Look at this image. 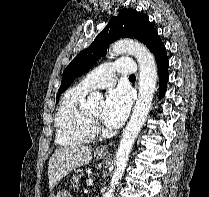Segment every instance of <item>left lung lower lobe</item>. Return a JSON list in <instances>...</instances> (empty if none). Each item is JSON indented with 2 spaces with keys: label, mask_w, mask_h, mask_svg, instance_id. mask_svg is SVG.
I'll return each instance as SVG.
<instances>
[{
  "label": "left lung lower lobe",
  "mask_w": 209,
  "mask_h": 197,
  "mask_svg": "<svg viewBox=\"0 0 209 197\" xmlns=\"http://www.w3.org/2000/svg\"><path fill=\"white\" fill-rule=\"evenodd\" d=\"M156 56L157 66L159 70V97L161 98L166 90L168 80V58L164 44H159L152 52Z\"/></svg>",
  "instance_id": "left-lung-lower-lobe-1"
}]
</instances>
